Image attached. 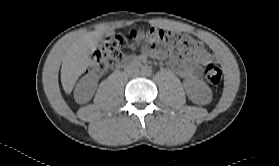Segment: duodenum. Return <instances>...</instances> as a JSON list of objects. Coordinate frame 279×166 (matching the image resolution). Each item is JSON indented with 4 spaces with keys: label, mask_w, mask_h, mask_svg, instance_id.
Here are the masks:
<instances>
[{
    "label": "duodenum",
    "mask_w": 279,
    "mask_h": 166,
    "mask_svg": "<svg viewBox=\"0 0 279 166\" xmlns=\"http://www.w3.org/2000/svg\"><path fill=\"white\" fill-rule=\"evenodd\" d=\"M140 65H142V61L135 60L133 58H124L119 64L121 68H131Z\"/></svg>",
    "instance_id": "410a0bca"
}]
</instances>
